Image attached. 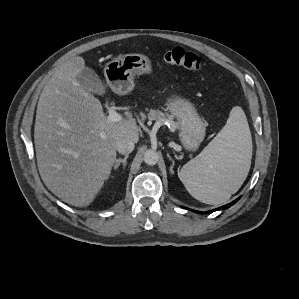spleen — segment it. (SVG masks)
Wrapping results in <instances>:
<instances>
[{"mask_svg": "<svg viewBox=\"0 0 299 299\" xmlns=\"http://www.w3.org/2000/svg\"><path fill=\"white\" fill-rule=\"evenodd\" d=\"M252 158V138L241 107L230 112L226 125L195 158L178 173L187 191L206 204L230 199L245 181Z\"/></svg>", "mask_w": 299, "mask_h": 299, "instance_id": "spleen-1", "label": "spleen"}]
</instances>
